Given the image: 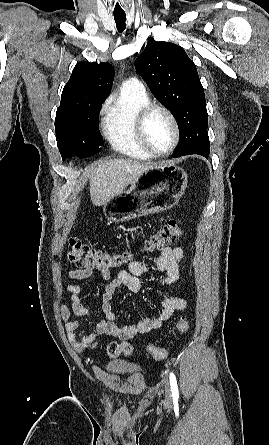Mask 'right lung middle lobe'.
Masks as SVG:
<instances>
[{
  "label": "right lung middle lobe",
  "instance_id": "obj_1",
  "mask_svg": "<svg viewBox=\"0 0 269 445\" xmlns=\"http://www.w3.org/2000/svg\"><path fill=\"white\" fill-rule=\"evenodd\" d=\"M103 102L60 105L56 112L55 130L62 159L86 158L101 151L104 145L97 116Z\"/></svg>",
  "mask_w": 269,
  "mask_h": 445
}]
</instances>
